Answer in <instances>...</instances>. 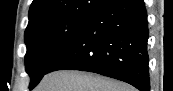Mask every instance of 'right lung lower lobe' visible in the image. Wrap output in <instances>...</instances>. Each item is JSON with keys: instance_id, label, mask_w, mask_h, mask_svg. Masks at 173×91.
Returning a JSON list of instances; mask_svg holds the SVG:
<instances>
[{"instance_id": "1", "label": "right lung lower lobe", "mask_w": 173, "mask_h": 91, "mask_svg": "<svg viewBox=\"0 0 173 91\" xmlns=\"http://www.w3.org/2000/svg\"><path fill=\"white\" fill-rule=\"evenodd\" d=\"M148 36L143 0H112L89 18L46 73L89 71L149 91Z\"/></svg>"}]
</instances>
